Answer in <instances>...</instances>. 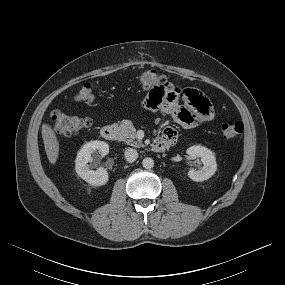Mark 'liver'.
<instances>
[{
	"mask_svg": "<svg viewBox=\"0 0 285 285\" xmlns=\"http://www.w3.org/2000/svg\"><path fill=\"white\" fill-rule=\"evenodd\" d=\"M42 138L47 158L51 164H55L59 156V141L49 124L42 125Z\"/></svg>",
	"mask_w": 285,
	"mask_h": 285,
	"instance_id": "liver-1",
	"label": "liver"
}]
</instances>
